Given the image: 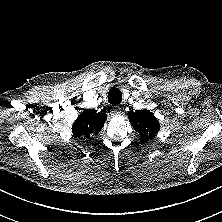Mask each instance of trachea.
Here are the masks:
<instances>
[{
  "mask_svg": "<svg viewBox=\"0 0 222 222\" xmlns=\"http://www.w3.org/2000/svg\"><path fill=\"white\" fill-rule=\"evenodd\" d=\"M108 101L112 105H118L122 101V93L118 88L112 87L108 92Z\"/></svg>",
  "mask_w": 222,
  "mask_h": 222,
  "instance_id": "trachea-1",
  "label": "trachea"
}]
</instances>
